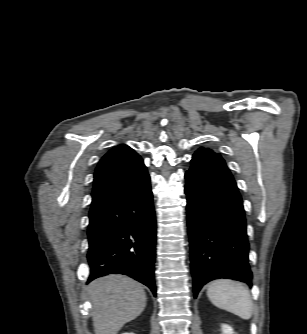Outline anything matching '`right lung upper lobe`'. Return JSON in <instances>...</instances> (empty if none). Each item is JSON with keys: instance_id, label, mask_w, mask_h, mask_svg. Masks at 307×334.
Segmentation results:
<instances>
[{"instance_id": "right-lung-upper-lobe-1", "label": "right lung upper lobe", "mask_w": 307, "mask_h": 334, "mask_svg": "<svg viewBox=\"0 0 307 334\" xmlns=\"http://www.w3.org/2000/svg\"><path fill=\"white\" fill-rule=\"evenodd\" d=\"M147 176L143 160L132 148L125 144L115 146L96 167L89 214L132 189Z\"/></svg>"}]
</instances>
